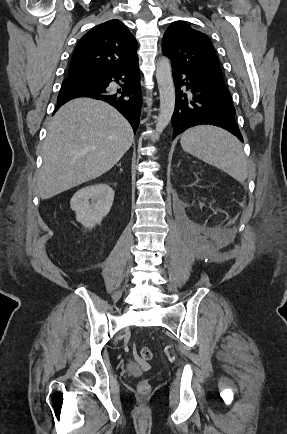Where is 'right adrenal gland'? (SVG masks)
I'll return each instance as SVG.
<instances>
[{
    "instance_id": "2a0ac1e0",
    "label": "right adrenal gland",
    "mask_w": 287,
    "mask_h": 434,
    "mask_svg": "<svg viewBox=\"0 0 287 434\" xmlns=\"http://www.w3.org/2000/svg\"><path fill=\"white\" fill-rule=\"evenodd\" d=\"M119 167H121V163L118 164ZM120 170L122 171V169L120 168Z\"/></svg>"
}]
</instances>
